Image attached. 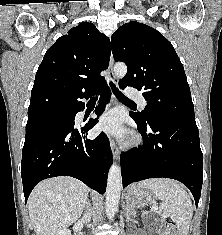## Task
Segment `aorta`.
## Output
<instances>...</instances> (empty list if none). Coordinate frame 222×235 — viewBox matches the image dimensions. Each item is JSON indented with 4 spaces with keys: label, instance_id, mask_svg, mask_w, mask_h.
Masks as SVG:
<instances>
[{
    "label": "aorta",
    "instance_id": "obj_1",
    "mask_svg": "<svg viewBox=\"0 0 222 235\" xmlns=\"http://www.w3.org/2000/svg\"><path fill=\"white\" fill-rule=\"evenodd\" d=\"M127 73V66L124 63H116L114 76L123 78ZM122 190V176L120 166L113 163L109 169L106 189V215L109 220L113 219L118 211V204Z\"/></svg>",
    "mask_w": 222,
    "mask_h": 235
}]
</instances>
